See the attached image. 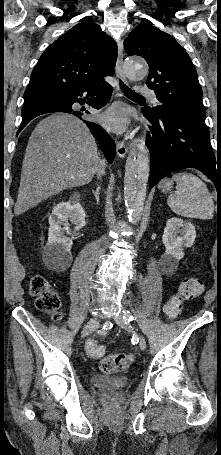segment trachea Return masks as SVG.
Here are the masks:
<instances>
[{
  "instance_id": "obj_1",
  "label": "trachea",
  "mask_w": 221,
  "mask_h": 455,
  "mask_svg": "<svg viewBox=\"0 0 221 455\" xmlns=\"http://www.w3.org/2000/svg\"><path fill=\"white\" fill-rule=\"evenodd\" d=\"M120 88L126 96L144 99L141 95L127 87L122 81H120Z\"/></svg>"
}]
</instances>
